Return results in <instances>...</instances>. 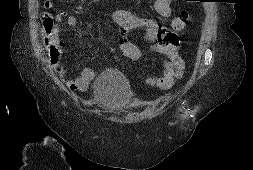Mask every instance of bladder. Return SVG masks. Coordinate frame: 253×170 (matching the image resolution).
Segmentation results:
<instances>
[{
  "label": "bladder",
  "mask_w": 253,
  "mask_h": 170,
  "mask_svg": "<svg viewBox=\"0 0 253 170\" xmlns=\"http://www.w3.org/2000/svg\"><path fill=\"white\" fill-rule=\"evenodd\" d=\"M133 90L127 78L116 69H107L96 77L93 97L97 106L109 113H120L127 109Z\"/></svg>",
  "instance_id": "obj_1"
}]
</instances>
